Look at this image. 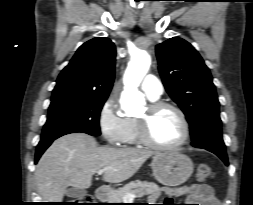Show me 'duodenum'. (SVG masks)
Segmentation results:
<instances>
[{
	"mask_svg": "<svg viewBox=\"0 0 253 205\" xmlns=\"http://www.w3.org/2000/svg\"><path fill=\"white\" fill-rule=\"evenodd\" d=\"M109 190L105 187H99L95 191V197L99 201H105L109 197Z\"/></svg>",
	"mask_w": 253,
	"mask_h": 205,
	"instance_id": "duodenum-1",
	"label": "duodenum"
}]
</instances>
